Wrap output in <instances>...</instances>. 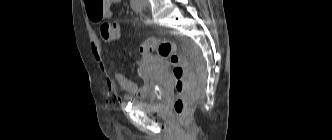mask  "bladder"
<instances>
[{
  "label": "bladder",
  "mask_w": 332,
  "mask_h": 140,
  "mask_svg": "<svg viewBox=\"0 0 332 140\" xmlns=\"http://www.w3.org/2000/svg\"><path fill=\"white\" fill-rule=\"evenodd\" d=\"M159 95L152 91L149 93L145 99L143 100H135L133 101L134 106L143 110H156L159 108L160 100ZM161 99H164V94L161 93Z\"/></svg>",
  "instance_id": "bladder-1"
}]
</instances>
